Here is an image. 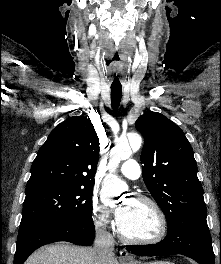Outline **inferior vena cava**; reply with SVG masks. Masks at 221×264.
<instances>
[{
  "mask_svg": "<svg viewBox=\"0 0 221 264\" xmlns=\"http://www.w3.org/2000/svg\"><path fill=\"white\" fill-rule=\"evenodd\" d=\"M94 253L102 264L114 257V239L110 232L103 227L102 222L97 223Z\"/></svg>",
  "mask_w": 221,
  "mask_h": 264,
  "instance_id": "602c4592",
  "label": "inferior vena cava"
}]
</instances>
